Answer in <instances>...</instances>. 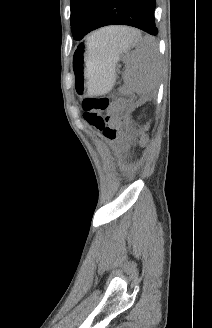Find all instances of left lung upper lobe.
Wrapping results in <instances>:
<instances>
[{"label":"left lung upper lobe","instance_id":"5c2ea615","mask_svg":"<svg viewBox=\"0 0 212 328\" xmlns=\"http://www.w3.org/2000/svg\"><path fill=\"white\" fill-rule=\"evenodd\" d=\"M103 0H71V30L75 40H81L94 23Z\"/></svg>","mask_w":212,"mask_h":328}]
</instances>
